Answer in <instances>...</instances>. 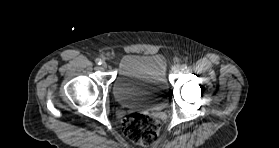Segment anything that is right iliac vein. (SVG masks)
<instances>
[{"instance_id":"right-iliac-vein-1","label":"right iliac vein","mask_w":279,"mask_h":148,"mask_svg":"<svg viewBox=\"0 0 279 148\" xmlns=\"http://www.w3.org/2000/svg\"><path fill=\"white\" fill-rule=\"evenodd\" d=\"M101 68H102V69H106V68H107V64H106V62H102V64H101Z\"/></svg>"}]
</instances>
